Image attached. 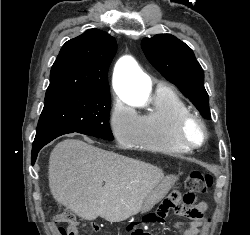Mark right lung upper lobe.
Masks as SVG:
<instances>
[{
	"mask_svg": "<svg viewBox=\"0 0 250 235\" xmlns=\"http://www.w3.org/2000/svg\"><path fill=\"white\" fill-rule=\"evenodd\" d=\"M116 48L115 39L98 29L67 41L52 66L45 97L109 90L107 73Z\"/></svg>",
	"mask_w": 250,
	"mask_h": 235,
	"instance_id": "right-lung-upper-lobe-1",
	"label": "right lung upper lobe"
}]
</instances>
